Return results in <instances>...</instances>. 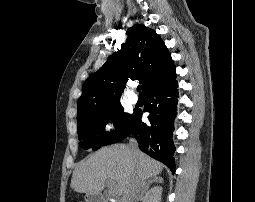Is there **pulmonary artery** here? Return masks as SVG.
I'll return each mask as SVG.
<instances>
[{
	"mask_svg": "<svg viewBox=\"0 0 255 202\" xmlns=\"http://www.w3.org/2000/svg\"><path fill=\"white\" fill-rule=\"evenodd\" d=\"M128 99H129L130 103H132V104H135V103H137V101H138V97H137V95L134 94V93H130V94L128 95Z\"/></svg>",
	"mask_w": 255,
	"mask_h": 202,
	"instance_id": "pulmonary-artery-1",
	"label": "pulmonary artery"
}]
</instances>
